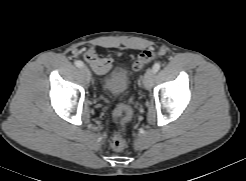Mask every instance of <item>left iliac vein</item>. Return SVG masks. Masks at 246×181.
<instances>
[{
	"mask_svg": "<svg viewBox=\"0 0 246 181\" xmlns=\"http://www.w3.org/2000/svg\"><path fill=\"white\" fill-rule=\"evenodd\" d=\"M155 71L153 69H149L147 70V72L145 73L144 77H143V86L146 89H149L152 87L153 85V81H154V77H155Z\"/></svg>",
	"mask_w": 246,
	"mask_h": 181,
	"instance_id": "4c4485c4",
	"label": "left iliac vein"
}]
</instances>
